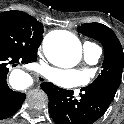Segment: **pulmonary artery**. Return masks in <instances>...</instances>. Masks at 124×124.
I'll return each mask as SVG.
<instances>
[{
    "instance_id": "1",
    "label": "pulmonary artery",
    "mask_w": 124,
    "mask_h": 124,
    "mask_svg": "<svg viewBox=\"0 0 124 124\" xmlns=\"http://www.w3.org/2000/svg\"><path fill=\"white\" fill-rule=\"evenodd\" d=\"M85 60L90 64H95L102 54V50L99 46L86 42L83 45Z\"/></svg>"
}]
</instances>
